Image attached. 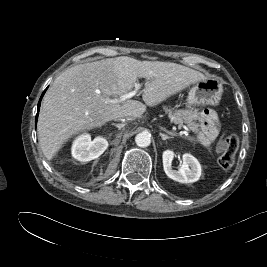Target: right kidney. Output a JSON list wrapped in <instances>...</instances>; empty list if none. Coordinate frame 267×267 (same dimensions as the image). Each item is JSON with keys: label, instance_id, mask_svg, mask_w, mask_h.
Here are the masks:
<instances>
[{"label": "right kidney", "instance_id": "ca27d5eb", "mask_svg": "<svg viewBox=\"0 0 267 267\" xmlns=\"http://www.w3.org/2000/svg\"><path fill=\"white\" fill-rule=\"evenodd\" d=\"M108 147L105 138L98 136L91 140L89 134H82L77 137L72 145V156L81 162H88L98 158Z\"/></svg>", "mask_w": 267, "mask_h": 267}]
</instances>
